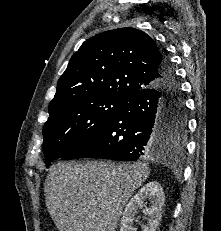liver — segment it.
<instances>
[{"mask_svg": "<svg viewBox=\"0 0 221 231\" xmlns=\"http://www.w3.org/2000/svg\"><path fill=\"white\" fill-rule=\"evenodd\" d=\"M149 173L146 163L58 162L44 183L47 210L59 231H115Z\"/></svg>", "mask_w": 221, "mask_h": 231, "instance_id": "6515ba94", "label": "liver"}]
</instances>
